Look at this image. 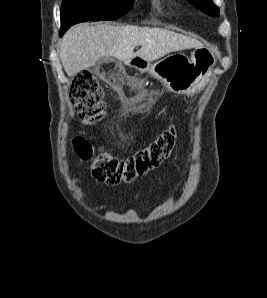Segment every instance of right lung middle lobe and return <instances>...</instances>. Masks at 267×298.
I'll list each match as a JSON object with an SVG mask.
<instances>
[{
  "label": "right lung middle lobe",
  "instance_id": "obj_1",
  "mask_svg": "<svg viewBox=\"0 0 267 298\" xmlns=\"http://www.w3.org/2000/svg\"><path fill=\"white\" fill-rule=\"evenodd\" d=\"M135 0H63L61 28L88 20H115L125 15Z\"/></svg>",
  "mask_w": 267,
  "mask_h": 298
}]
</instances>
